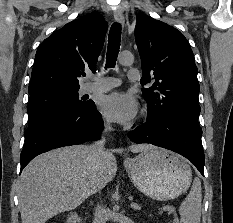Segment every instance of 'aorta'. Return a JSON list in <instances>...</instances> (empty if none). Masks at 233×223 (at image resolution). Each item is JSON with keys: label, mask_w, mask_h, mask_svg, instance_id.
<instances>
[{"label": "aorta", "mask_w": 233, "mask_h": 223, "mask_svg": "<svg viewBox=\"0 0 233 223\" xmlns=\"http://www.w3.org/2000/svg\"><path fill=\"white\" fill-rule=\"evenodd\" d=\"M134 62V58L132 54L130 56H120L119 58V64H122V66H132Z\"/></svg>", "instance_id": "762f6f07"}]
</instances>
